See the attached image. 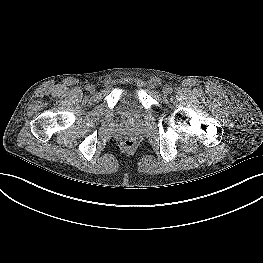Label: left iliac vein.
Segmentation results:
<instances>
[{"mask_svg":"<svg viewBox=\"0 0 263 263\" xmlns=\"http://www.w3.org/2000/svg\"><path fill=\"white\" fill-rule=\"evenodd\" d=\"M163 94L164 95H168L169 94V89L168 88H164L163 89Z\"/></svg>","mask_w":263,"mask_h":263,"instance_id":"left-iliac-vein-1","label":"left iliac vein"}]
</instances>
